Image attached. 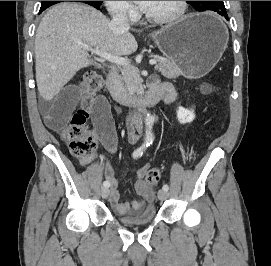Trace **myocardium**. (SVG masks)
<instances>
[{"mask_svg":"<svg viewBox=\"0 0 271 266\" xmlns=\"http://www.w3.org/2000/svg\"><path fill=\"white\" fill-rule=\"evenodd\" d=\"M186 11H187V1H178L177 9L171 14L164 16H155L148 14L146 12L145 17L147 20L157 24H168L180 20L185 15Z\"/></svg>","mask_w":271,"mask_h":266,"instance_id":"f54148a6","label":"myocardium"}]
</instances>
